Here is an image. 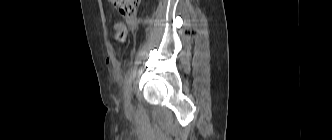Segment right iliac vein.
Segmentation results:
<instances>
[{
  "label": "right iliac vein",
  "instance_id": "right-iliac-vein-1",
  "mask_svg": "<svg viewBox=\"0 0 332 140\" xmlns=\"http://www.w3.org/2000/svg\"><path fill=\"white\" fill-rule=\"evenodd\" d=\"M130 100H131V91L129 90V92L125 95V110L126 111H129L131 109Z\"/></svg>",
  "mask_w": 332,
  "mask_h": 140
}]
</instances>
